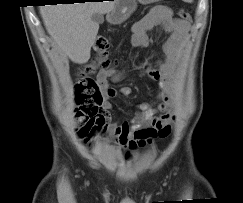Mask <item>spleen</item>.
<instances>
[{"instance_id":"spleen-1","label":"spleen","mask_w":243,"mask_h":203,"mask_svg":"<svg viewBox=\"0 0 243 203\" xmlns=\"http://www.w3.org/2000/svg\"><path fill=\"white\" fill-rule=\"evenodd\" d=\"M185 2H192V0H184Z\"/></svg>"}]
</instances>
